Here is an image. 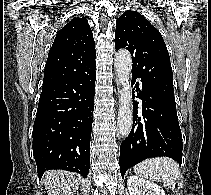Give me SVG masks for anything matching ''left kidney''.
<instances>
[{"instance_id":"5707ae66","label":"left kidney","mask_w":211,"mask_h":195,"mask_svg":"<svg viewBox=\"0 0 211 195\" xmlns=\"http://www.w3.org/2000/svg\"><path fill=\"white\" fill-rule=\"evenodd\" d=\"M127 186L130 195H165L160 186L135 175L128 178Z\"/></svg>"}]
</instances>
